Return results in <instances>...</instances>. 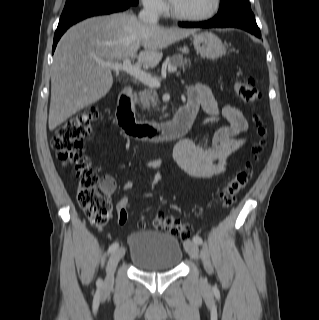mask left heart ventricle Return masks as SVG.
Instances as JSON below:
<instances>
[{
    "mask_svg": "<svg viewBox=\"0 0 319 320\" xmlns=\"http://www.w3.org/2000/svg\"><path fill=\"white\" fill-rule=\"evenodd\" d=\"M213 0H177L174 9L184 15H201L211 10Z\"/></svg>",
    "mask_w": 319,
    "mask_h": 320,
    "instance_id": "left-heart-ventricle-1",
    "label": "left heart ventricle"
}]
</instances>
